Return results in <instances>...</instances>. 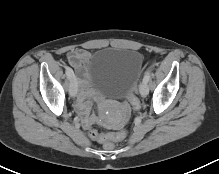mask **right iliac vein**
I'll return each mask as SVG.
<instances>
[{
  "mask_svg": "<svg viewBox=\"0 0 219 174\" xmlns=\"http://www.w3.org/2000/svg\"><path fill=\"white\" fill-rule=\"evenodd\" d=\"M77 93V79L73 76L69 83V95L75 97Z\"/></svg>",
  "mask_w": 219,
  "mask_h": 174,
  "instance_id": "obj_1",
  "label": "right iliac vein"
}]
</instances>
